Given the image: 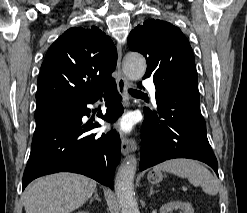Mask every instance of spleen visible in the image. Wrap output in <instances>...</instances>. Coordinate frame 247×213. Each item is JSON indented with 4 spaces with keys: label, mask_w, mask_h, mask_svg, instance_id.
Wrapping results in <instances>:
<instances>
[{
    "label": "spleen",
    "mask_w": 247,
    "mask_h": 213,
    "mask_svg": "<svg viewBox=\"0 0 247 213\" xmlns=\"http://www.w3.org/2000/svg\"><path fill=\"white\" fill-rule=\"evenodd\" d=\"M153 170L155 172H169L181 178H187L194 186H201L208 195H216L219 191L218 180L209 170L195 160L172 159L156 165Z\"/></svg>",
    "instance_id": "spleen-1"
}]
</instances>
